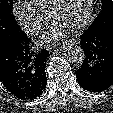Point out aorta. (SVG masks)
I'll use <instances>...</instances> for the list:
<instances>
[{
  "label": "aorta",
  "mask_w": 113,
  "mask_h": 113,
  "mask_svg": "<svg viewBox=\"0 0 113 113\" xmlns=\"http://www.w3.org/2000/svg\"><path fill=\"white\" fill-rule=\"evenodd\" d=\"M63 56L71 63L81 64L84 61L83 49L73 42H66L62 46Z\"/></svg>",
  "instance_id": "obj_1"
}]
</instances>
